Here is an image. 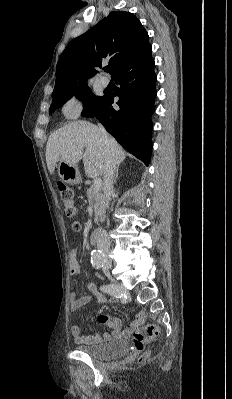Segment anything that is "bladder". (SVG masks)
<instances>
[{
	"instance_id": "obj_1",
	"label": "bladder",
	"mask_w": 232,
	"mask_h": 399,
	"mask_svg": "<svg viewBox=\"0 0 232 399\" xmlns=\"http://www.w3.org/2000/svg\"><path fill=\"white\" fill-rule=\"evenodd\" d=\"M76 350L98 360H115L129 352V345L124 339H114L96 344H80Z\"/></svg>"
}]
</instances>
